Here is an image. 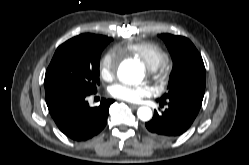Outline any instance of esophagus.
<instances>
[{
  "label": "esophagus",
  "instance_id": "esophagus-1",
  "mask_svg": "<svg viewBox=\"0 0 249 165\" xmlns=\"http://www.w3.org/2000/svg\"><path fill=\"white\" fill-rule=\"evenodd\" d=\"M129 106L133 109H137L139 107V105L137 104H129Z\"/></svg>",
  "mask_w": 249,
  "mask_h": 165
}]
</instances>
